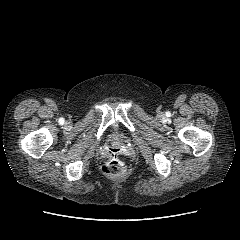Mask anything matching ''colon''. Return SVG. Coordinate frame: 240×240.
<instances>
[{"instance_id": "obj_1", "label": "colon", "mask_w": 240, "mask_h": 240, "mask_svg": "<svg viewBox=\"0 0 240 240\" xmlns=\"http://www.w3.org/2000/svg\"><path fill=\"white\" fill-rule=\"evenodd\" d=\"M102 171L110 177L119 176L125 171V162L117 150H112L111 155L102 166Z\"/></svg>"}]
</instances>
